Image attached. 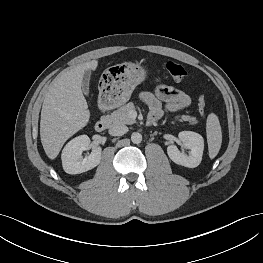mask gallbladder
<instances>
[{
	"instance_id": "1",
	"label": "gallbladder",
	"mask_w": 263,
	"mask_h": 263,
	"mask_svg": "<svg viewBox=\"0 0 263 263\" xmlns=\"http://www.w3.org/2000/svg\"><path fill=\"white\" fill-rule=\"evenodd\" d=\"M90 75H91V71L90 70H86L83 76V80H82V91L83 93L88 96L89 95V81H90Z\"/></svg>"
}]
</instances>
